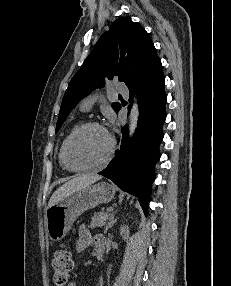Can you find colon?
<instances>
[{
	"label": "colon",
	"instance_id": "obj_1",
	"mask_svg": "<svg viewBox=\"0 0 231 286\" xmlns=\"http://www.w3.org/2000/svg\"><path fill=\"white\" fill-rule=\"evenodd\" d=\"M53 279L57 286H64L68 282L73 269V257L67 246L60 247L53 256Z\"/></svg>",
	"mask_w": 231,
	"mask_h": 286
}]
</instances>
